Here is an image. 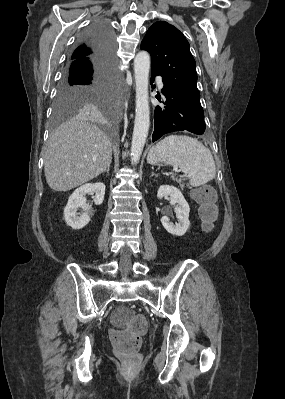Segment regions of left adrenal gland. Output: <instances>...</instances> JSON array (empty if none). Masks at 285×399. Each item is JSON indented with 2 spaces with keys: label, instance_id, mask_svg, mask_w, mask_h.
<instances>
[{
  "label": "left adrenal gland",
  "instance_id": "a2214340",
  "mask_svg": "<svg viewBox=\"0 0 285 399\" xmlns=\"http://www.w3.org/2000/svg\"><path fill=\"white\" fill-rule=\"evenodd\" d=\"M153 176L158 177V175L156 173L152 172L151 177H153Z\"/></svg>",
  "mask_w": 285,
  "mask_h": 399
}]
</instances>
